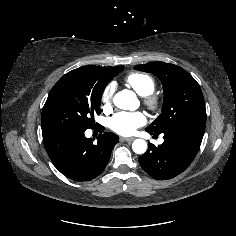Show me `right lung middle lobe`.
Segmentation results:
<instances>
[{
	"instance_id": "dd1d6c3e",
	"label": "right lung middle lobe",
	"mask_w": 236,
	"mask_h": 236,
	"mask_svg": "<svg viewBox=\"0 0 236 236\" xmlns=\"http://www.w3.org/2000/svg\"><path fill=\"white\" fill-rule=\"evenodd\" d=\"M119 67H80L65 74L51 89L42 110L43 140L70 131L92 128L99 114L107 83L123 70Z\"/></svg>"
}]
</instances>
